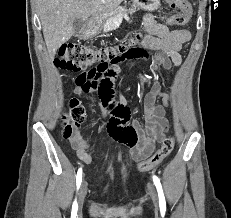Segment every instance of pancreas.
Returning a JSON list of instances; mask_svg holds the SVG:
<instances>
[{
	"label": "pancreas",
	"instance_id": "pancreas-1",
	"mask_svg": "<svg viewBox=\"0 0 231 218\" xmlns=\"http://www.w3.org/2000/svg\"><path fill=\"white\" fill-rule=\"evenodd\" d=\"M123 18H125L126 20H129L126 14L116 13L114 15H111L103 23L104 32L115 30L120 25Z\"/></svg>",
	"mask_w": 231,
	"mask_h": 218
}]
</instances>
